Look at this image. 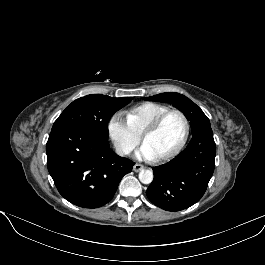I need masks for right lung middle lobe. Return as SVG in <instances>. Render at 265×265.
<instances>
[{"instance_id": "dd1d6c3e", "label": "right lung middle lobe", "mask_w": 265, "mask_h": 265, "mask_svg": "<svg viewBox=\"0 0 265 265\" xmlns=\"http://www.w3.org/2000/svg\"><path fill=\"white\" fill-rule=\"evenodd\" d=\"M131 101L132 97L112 98L101 94L81 97L61 113L54 122L52 131L65 126H77L108 138V120Z\"/></svg>"}]
</instances>
